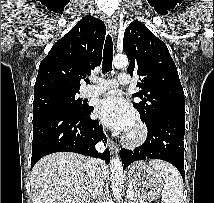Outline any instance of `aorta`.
I'll use <instances>...</instances> for the list:
<instances>
[{"label":"aorta","mask_w":214,"mask_h":203,"mask_svg":"<svg viewBox=\"0 0 214 203\" xmlns=\"http://www.w3.org/2000/svg\"><path fill=\"white\" fill-rule=\"evenodd\" d=\"M113 66L116 69L126 68L128 66V58L125 55H116L113 59ZM112 192L116 203H119L122 196L123 188V167L119 156L113 157L110 161Z\"/></svg>","instance_id":"obj_1"}]
</instances>
